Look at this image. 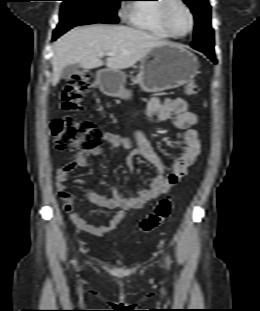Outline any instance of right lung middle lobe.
Instances as JSON below:
<instances>
[{
    "mask_svg": "<svg viewBox=\"0 0 260 311\" xmlns=\"http://www.w3.org/2000/svg\"><path fill=\"white\" fill-rule=\"evenodd\" d=\"M60 21L57 28L93 23L118 22L117 9L122 0H61Z\"/></svg>",
    "mask_w": 260,
    "mask_h": 311,
    "instance_id": "right-lung-middle-lobe-1",
    "label": "right lung middle lobe"
}]
</instances>
